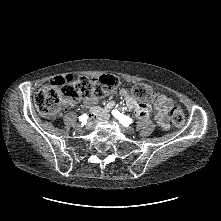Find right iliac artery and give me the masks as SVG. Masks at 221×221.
I'll return each instance as SVG.
<instances>
[{
  "instance_id": "right-iliac-artery-1",
  "label": "right iliac artery",
  "mask_w": 221,
  "mask_h": 221,
  "mask_svg": "<svg viewBox=\"0 0 221 221\" xmlns=\"http://www.w3.org/2000/svg\"><path fill=\"white\" fill-rule=\"evenodd\" d=\"M87 119H88V116H87L86 114H84V115H82V116L79 117V121H81V122H83V123L86 122Z\"/></svg>"
}]
</instances>
